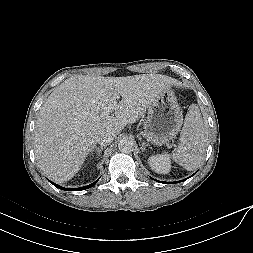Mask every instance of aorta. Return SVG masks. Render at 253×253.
<instances>
[{"label": "aorta", "instance_id": "762f6f07", "mask_svg": "<svg viewBox=\"0 0 253 253\" xmlns=\"http://www.w3.org/2000/svg\"><path fill=\"white\" fill-rule=\"evenodd\" d=\"M118 148L123 153H130L134 150V142L129 138H123L118 142Z\"/></svg>", "mask_w": 253, "mask_h": 253}]
</instances>
